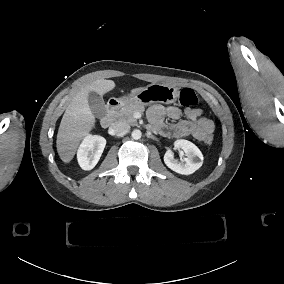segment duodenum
Masks as SVG:
<instances>
[{
    "mask_svg": "<svg viewBox=\"0 0 284 284\" xmlns=\"http://www.w3.org/2000/svg\"><path fill=\"white\" fill-rule=\"evenodd\" d=\"M126 102V98H117L109 100L106 112L103 113L99 118V123L101 127L108 128L112 123L115 111L118 110Z\"/></svg>",
    "mask_w": 284,
    "mask_h": 284,
    "instance_id": "obj_1",
    "label": "duodenum"
}]
</instances>
